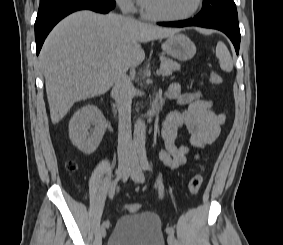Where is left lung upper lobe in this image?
Returning a JSON list of instances; mask_svg holds the SVG:
<instances>
[{"label": "left lung upper lobe", "instance_id": "obj_1", "mask_svg": "<svg viewBox=\"0 0 283 245\" xmlns=\"http://www.w3.org/2000/svg\"><path fill=\"white\" fill-rule=\"evenodd\" d=\"M195 18L239 29L238 14L233 0H203L202 10Z\"/></svg>", "mask_w": 283, "mask_h": 245}]
</instances>
